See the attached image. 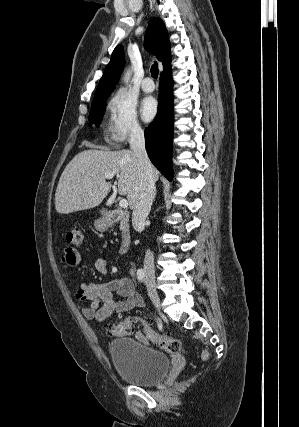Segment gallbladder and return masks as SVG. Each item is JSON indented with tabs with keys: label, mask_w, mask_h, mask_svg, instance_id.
Masks as SVG:
<instances>
[{
	"label": "gallbladder",
	"mask_w": 299,
	"mask_h": 427,
	"mask_svg": "<svg viewBox=\"0 0 299 427\" xmlns=\"http://www.w3.org/2000/svg\"><path fill=\"white\" fill-rule=\"evenodd\" d=\"M105 212V210L103 209L102 211H101V213L103 214Z\"/></svg>",
	"instance_id": "gallbladder-1"
}]
</instances>
